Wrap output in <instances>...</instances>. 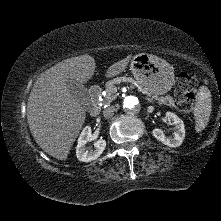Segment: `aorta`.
<instances>
[{"mask_svg": "<svg viewBox=\"0 0 221 221\" xmlns=\"http://www.w3.org/2000/svg\"><path fill=\"white\" fill-rule=\"evenodd\" d=\"M140 101L134 95L126 96L123 101V109L128 114H135L140 110Z\"/></svg>", "mask_w": 221, "mask_h": 221, "instance_id": "762f6f07", "label": "aorta"}]
</instances>
